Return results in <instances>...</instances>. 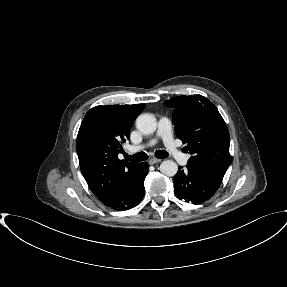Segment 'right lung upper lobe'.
Returning <instances> with one entry per match:
<instances>
[{
    "label": "right lung upper lobe",
    "instance_id": "1",
    "mask_svg": "<svg viewBox=\"0 0 287 287\" xmlns=\"http://www.w3.org/2000/svg\"><path fill=\"white\" fill-rule=\"evenodd\" d=\"M144 108L145 104L96 106L82 121L76 142L81 172L103 204L139 164H123L118 154L130 137L135 118Z\"/></svg>",
    "mask_w": 287,
    "mask_h": 287
}]
</instances>
